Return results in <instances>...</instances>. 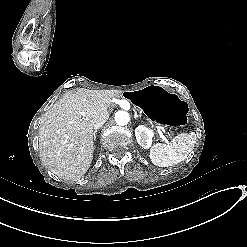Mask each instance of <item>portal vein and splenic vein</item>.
I'll return each instance as SVG.
<instances>
[{"instance_id": "18ae733b", "label": "portal vein and splenic vein", "mask_w": 247, "mask_h": 247, "mask_svg": "<svg viewBox=\"0 0 247 247\" xmlns=\"http://www.w3.org/2000/svg\"><path fill=\"white\" fill-rule=\"evenodd\" d=\"M155 128L159 132V136L161 137V139H163L166 144L173 146V143H171L170 140L166 139V137L161 131V128L158 125H155Z\"/></svg>"}]
</instances>
